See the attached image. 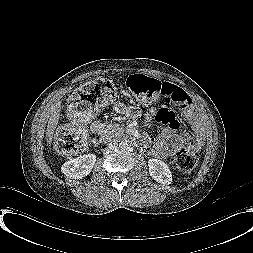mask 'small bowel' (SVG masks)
I'll return each instance as SVG.
<instances>
[{
  "label": "small bowel",
  "instance_id": "1",
  "mask_svg": "<svg viewBox=\"0 0 253 253\" xmlns=\"http://www.w3.org/2000/svg\"><path fill=\"white\" fill-rule=\"evenodd\" d=\"M176 98L175 103H180L184 106L182 111L184 117L193 124L194 135H189L188 133L177 135L180 125L173 112L168 109H160L158 111L150 109L146 112L145 119L150 121L156 117L166 125L160 136L142 135V140L149 144L150 154L158 158H167L183 148L199 151L202 146L203 134L200 127V118L191 97L183 89L177 88ZM113 109L117 114L127 115L133 119H138L141 116V110L136 106H126L119 102L114 104ZM117 129V125L104 121L95 120L90 123L91 132L97 136L95 142L108 139Z\"/></svg>",
  "mask_w": 253,
  "mask_h": 253
}]
</instances>
